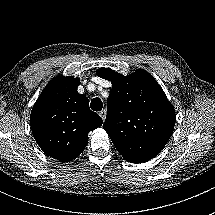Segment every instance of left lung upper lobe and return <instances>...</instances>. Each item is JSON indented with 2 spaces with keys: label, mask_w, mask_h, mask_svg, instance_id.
<instances>
[{
  "label": "left lung upper lobe",
  "mask_w": 215,
  "mask_h": 215,
  "mask_svg": "<svg viewBox=\"0 0 215 215\" xmlns=\"http://www.w3.org/2000/svg\"><path fill=\"white\" fill-rule=\"evenodd\" d=\"M96 74L112 82L103 128L118 152L131 163L155 157L172 135L176 121L163 89L143 69L123 76L99 68Z\"/></svg>",
  "instance_id": "5c2ea615"
}]
</instances>
